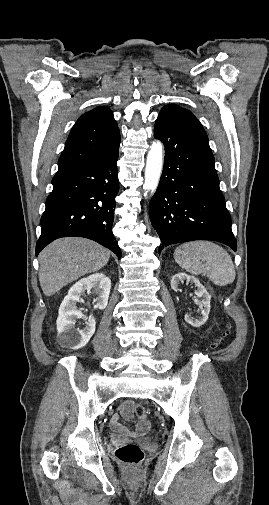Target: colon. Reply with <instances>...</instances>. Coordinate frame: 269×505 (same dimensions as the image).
<instances>
[{
  "instance_id": "5ec220e1",
  "label": "colon",
  "mask_w": 269,
  "mask_h": 505,
  "mask_svg": "<svg viewBox=\"0 0 269 505\" xmlns=\"http://www.w3.org/2000/svg\"><path fill=\"white\" fill-rule=\"evenodd\" d=\"M221 341L222 339L219 340V342ZM134 413L137 417L143 418L145 416V409L142 405H136ZM143 456L142 449L134 443L123 444L116 449V457L126 464L137 465L142 461Z\"/></svg>"
}]
</instances>
